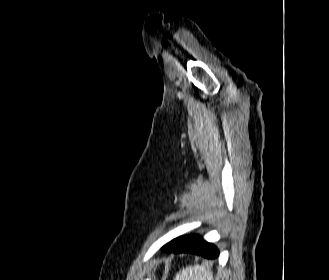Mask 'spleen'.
<instances>
[{"label":"spleen","instance_id":"spleen-1","mask_svg":"<svg viewBox=\"0 0 329 280\" xmlns=\"http://www.w3.org/2000/svg\"><path fill=\"white\" fill-rule=\"evenodd\" d=\"M174 280H213V273L206 265L187 266L175 275Z\"/></svg>","mask_w":329,"mask_h":280}]
</instances>
